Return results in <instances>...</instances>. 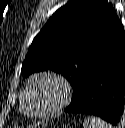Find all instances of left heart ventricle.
Masks as SVG:
<instances>
[{
    "instance_id": "1",
    "label": "left heart ventricle",
    "mask_w": 125,
    "mask_h": 128,
    "mask_svg": "<svg viewBox=\"0 0 125 128\" xmlns=\"http://www.w3.org/2000/svg\"><path fill=\"white\" fill-rule=\"evenodd\" d=\"M58 96L55 85L51 82H36L26 95V109L30 112H39L53 105Z\"/></svg>"
}]
</instances>
